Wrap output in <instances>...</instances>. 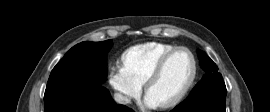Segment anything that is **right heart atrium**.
Masks as SVG:
<instances>
[{
	"label": "right heart atrium",
	"instance_id": "1",
	"mask_svg": "<svg viewBox=\"0 0 270 112\" xmlns=\"http://www.w3.org/2000/svg\"><path fill=\"white\" fill-rule=\"evenodd\" d=\"M108 78L118 101L122 104H128L142 92V84L135 80L123 64L115 63L109 70Z\"/></svg>",
	"mask_w": 270,
	"mask_h": 112
}]
</instances>
